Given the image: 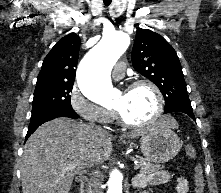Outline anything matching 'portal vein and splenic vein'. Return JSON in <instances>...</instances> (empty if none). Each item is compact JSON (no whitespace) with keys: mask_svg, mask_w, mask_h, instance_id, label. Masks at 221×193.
Segmentation results:
<instances>
[{"mask_svg":"<svg viewBox=\"0 0 221 193\" xmlns=\"http://www.w3.org/2000/svg\"><path fill=\"white\" fill-rule=\"evenodd\" d=\"M74 168H75V165H69V166L63 168V171L73 170ZM133 168H134V170L139 169V165H138V163H135V165H134Z\"/></svg>","mask_w":221,"mask_h":193,"instance_id":"18ae733b","label":"portal vein and splenic vein"}]
</instances>
